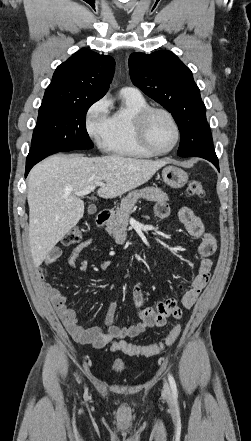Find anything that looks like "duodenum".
Segmentation results:
<instances>
[{"label": "duodenum", "instance_id": "410a0bca", "mask_svg": "<svg viewBox=\"0 0 251 441\" xmlns=\"http://www.w3.org/2000/svg\"><path fill=\"white\" fill-rule=\"evenodd\" d=\"M113 211L111 209H104L100 211L96 217V223L99 227H103L111 219Z\"/></svg>", "mask_w": 251, "mask_h": 441}]
</instances>
